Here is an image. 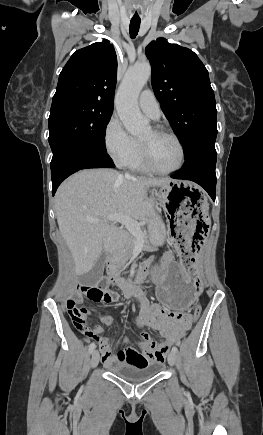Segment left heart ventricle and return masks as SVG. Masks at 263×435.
Wrapping results in <instances>:
<instances>
[{
	"mask_svg": "<svg viewBox=\"0 0 263 435\" xmlns=\"http://www.w3.org/2000/svg\"><path fill=\"white\" fill-rule=\"evenodd\" d=\"M149 152L154 165L162 170H169L176 167L180 162V150L176 142L167 136L156 135L149 130L142 138Z\"/></svg>",
	"mask_w": 263,
	"mask_h": 435,
	"instance_id": "left-heart-ventricle-1",
	"label": "left heart ventricle"
}]
</instances>
